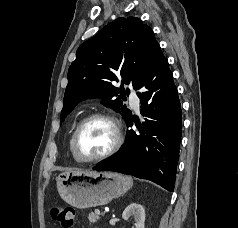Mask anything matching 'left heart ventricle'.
<instances>
[{
  "mask_svg": "<svg viewBox=\"0 0 238 228\" xmlns=\"http://www.w3.org/2000/svg\"><path fill=\"white\" fill-rule=\"evenodd\" d=\"M115 139L111 124L102 119L87 123L77 142L78 154L82 158H93L106 152Z\"/></svg>",
  "mask_w": 238,
  "mask_h": 228,
  "instance_id": "obj_1",
  "label": "left heart ventricle"
}]
</instances>
